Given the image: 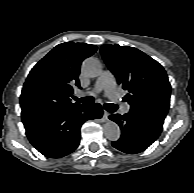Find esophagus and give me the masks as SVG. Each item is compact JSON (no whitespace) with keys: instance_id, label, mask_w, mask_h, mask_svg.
<instances>
[{"instance_id":"34e87169","label":"esophagus","mask_w":194,"mask_h":193,"mask_svg":"<svg viewBox=\"0 0 194 193\" xmlns=\"http://www.w3.org/2000/svg\"><path fill=\"white\" fill-rule=\"evenodd\" d=\"M109 119V113L107 111H104L103 113V120L107 121Z\"/></svg>"}]
</instances>
